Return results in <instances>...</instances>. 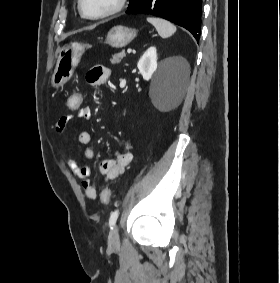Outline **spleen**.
<instances>
[{"instance_id": "3e777b00", "label": "spleen", "mask_w": 280, "mask_h": 283, "mask_svg": "<svg viewBox=\"0 0 280 283\" xmlns=\"http://www.w3.org/2000/svg\"><path fill=\"white\" fill-rule=\"evenodd\" d=\"M147 21L156 28L162 38H168L176 32V27L165 19L148 17Z\"/></svg>"}]
</instances>
